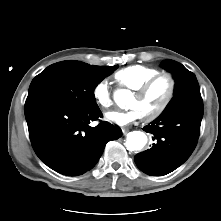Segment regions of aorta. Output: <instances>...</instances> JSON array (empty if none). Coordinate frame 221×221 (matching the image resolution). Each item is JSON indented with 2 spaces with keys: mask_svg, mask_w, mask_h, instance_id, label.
Returning <instances> with one entry per match:
<instances>
[{
  "mask_svg": "<svg viewBox=\"0 0 221 221\" xmlns=\"http://www.w3.org/2000/svg\"><path fill=\"white\" fill-rule=\"evenodd\" d=\"M130 95L129 90L121 89L114 93V101L120 107L124 108L126 99ZM147 143V136L141 131H133L127 134L126 145L129 150L142 149Z\"/></svg>",
  "mask_w": 221,
  "mask_h": 221,
  "instance_id": "1",
  "label": "aorta"
}]
</instances>
